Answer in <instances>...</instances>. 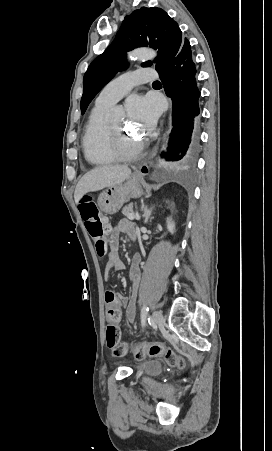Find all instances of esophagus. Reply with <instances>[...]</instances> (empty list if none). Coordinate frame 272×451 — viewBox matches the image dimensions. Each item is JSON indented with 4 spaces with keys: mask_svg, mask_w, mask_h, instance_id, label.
Masks as SVG:
<instances>
[{
    "mask_svg": "<svg viewBox=\"0 0 272 451\" xmlns=\"http://www.w3.org/2000/svg\"><path fill=\"white\" fill-rule=\"evenodd\" d=\"M138 171L140 173L141 176H145L146 174L149 173V168L146 162L141 163L138 167Z\"/></svg>",
    "mask_w": 272,
    "mask_h": 451,
    "instance_id": "1",
    "label": "esophagus"
}]
</instances>
